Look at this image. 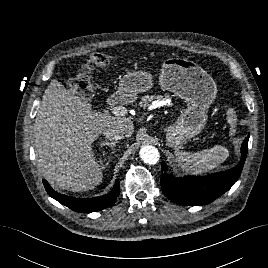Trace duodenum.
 <instances>
[{
    "label": "duodenum",
    "mask_w": 268,
    "mask_h": 268,
    "mask_svg": "<svg viewBox=\"0 0 268 268\" xmlns=\"http://www.w3.org/2000/svg\"><path fill=\"white\" fill-rule=\"evenodd\" d=\"M119 104V95L113 94L108 98V105L110 107L117 106Z\"/></svg>",
    "instance_id": "1"
}]
</instances>
